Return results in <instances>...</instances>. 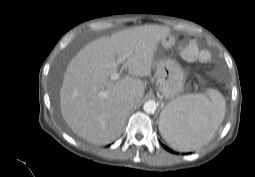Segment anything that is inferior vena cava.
I'll use <instances>...</instances> for the list:
<instances>
[{
	"instance_id": "1",
	"label": "inferior vena cava",
	"mask_w": 255,
	"mask_h": 177,
	"mask_svg": "<svg viewBox=\"0 0 255 177\" xmlns=\"http://www.w3.org/2000/svg\"><path fill=\"white\" fill-rule=\"evenodd\" d=\"M135 105V101L132 98H129L125 101V106L128 109H131Z\"/></svg>"
}]
</instances>
